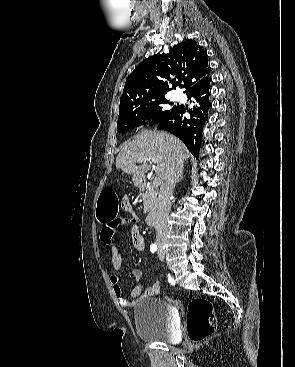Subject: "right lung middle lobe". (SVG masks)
<instances>
[{
    "instance_id": "obj_1",
    "label": "right lung middle lobe",
    "mask_w": 295,
    "mask_h": 367,
    "mask_svg": "<svg viewBox=\"0 0 295 367\" xmlns=\"http://www.w3.org/2000/svg\"><path fill=\"white\" fill-rule=\"evenodd\" d=\"M169 103L164 96L151 100L129 102L119 110L117 133L128 132L135 127L145 125L143 119H152L151 125L160 122L166 116L174 112L178 106L174 105L171 109L165 106Z\"/></svg>"
}]
</instances>
